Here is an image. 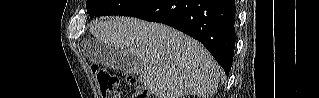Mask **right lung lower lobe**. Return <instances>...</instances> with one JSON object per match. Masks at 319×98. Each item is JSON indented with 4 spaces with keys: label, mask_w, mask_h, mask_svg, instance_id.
<instances>
[{
    "label": "right lung lower lobe",
    "mask_w": 319,
    "mask_h": 98,
    "mask_svg": "<svg viewBox=\"0 0 319 98\" xmlns=\"http://www.w3.org/2000/svg\"><path fill=\"white\" fill-rule=\"evenodd\" d=\"M235 14L234 0H146L121 15L164 23L197 39L228 74L235 48Z\"/></svg>",
    "instance_id": "obj_1"
}]
</instances>
